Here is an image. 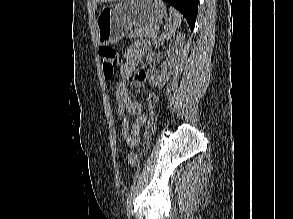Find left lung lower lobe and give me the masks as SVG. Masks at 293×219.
I'll use <instances>...</instances> for the list:
<instances>
[{
    "label": "left lung lower lobe",
    "instance_id": "0a47b994",
    "mask_svg": "<svg viewBox=\"0 0 293 219\" xmlns=\"http://www.w3.org/2000/svg\"><path fill=\"white\" fill-rule=\"evenodd\" d=\"M176 9H178L186 18L191 31L194 28L198 12L199 0H164Z\"/></svg>",
    "mask_w": 293,
    "mask_h": 219
}]
</instances>
